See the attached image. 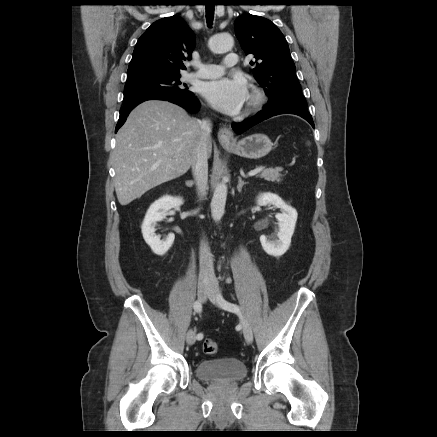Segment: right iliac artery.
Returning <instances> with one entry per match:
<instances>
[{"label": "right iliac artery", "mask_w": 437, "mask_h": 437, "mask_svg": "<svg viewBox=\"0 0 437 437\" xmlns=\"http://www.w3.org/2000/svg\"><path fill=\"white\" fill-rule=\"evenodd\" d=\"M193 308H194V310H195L197 313H201V311H202V305H201L200 301H196V302L194 303ZM196 339H197V340H202V339H203V334H202V333L197 334Z\"/></svg>", "instance_id": "82829eb1"}]
</instances>
